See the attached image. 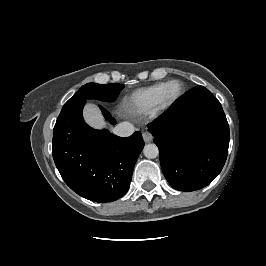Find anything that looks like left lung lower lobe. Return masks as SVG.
Returning a JSON list of instances; mask_svg holds the SVG:
<instances>
[{"label": "left lung lower lobe", "mask_w": 266, "mask_h": 266, "mask_svg": "<svg viewBox=\"0 0 266 266\" xmlns=\"http://www.w3.org/2000/svg\"><path fill=\"white\" fill-rule=\"evenodd\" d=\"M163 174L179 191H195L221 172L228 153L229 125L220 102L196 87L149 125Z\"/></svg>", "instance_id": "0a47b994"}]
</instances>
